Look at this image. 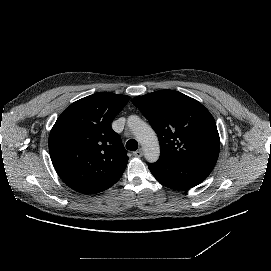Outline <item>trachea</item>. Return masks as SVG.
Here are the masks:
<instances>
[{
	"label": "trachea",
	"mask_w": 271,
	"mask_h": 271,
	"mask_svg": "<svg viewBox=\"0 0 271 271\" xmlns=\"http://www.w3.org/2000/svg\"><path fill=\"white\" fill-rule=\"evenodd\" d=\"M126 148L131 151L138 149V142L135 139H130L126 143Z\"/></svg>",
	"instance_id": "1"
}]
</instances>
